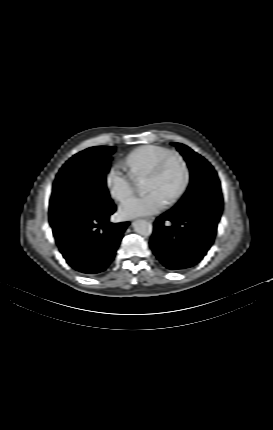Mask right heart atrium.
<instances>
[{"mask_svg":"<svg viewBox=\"0 0 273 430\" xmlns=\"http://www.w3.org/2000/svg\"><path fill=\"white\" fill-rule=\"evenodd\" d=\"M134 176L119 164L112 165L106 174V185L118 202L128 199L134 191Z\"/></svg>","mask_w":273,"mask_h":430,"instance_id":"right-heart-atrium-1","label":"right heart atrium"}]
</instances>
